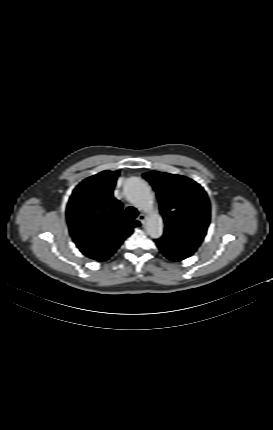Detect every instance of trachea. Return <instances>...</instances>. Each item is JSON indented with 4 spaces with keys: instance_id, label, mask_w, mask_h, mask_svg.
Here are the masks:
<instances>
[{
    "instance_id": "3493384b",
    "label": "trachea",
    "mask_w": 273,
    "mask_h": 430,
    "mask_svg": "<svg viewBox=\"0 0 273 430\" xmlns=\"http://www.w3.org/2000/svg\"><path fill=\"white\" fill-rule=\"evenodd\" d=\"M137 215H138L137 209L132 206L128 207L125 211L126 220L134 219L137 217Z\"/></svg>"
}]
</instances>
